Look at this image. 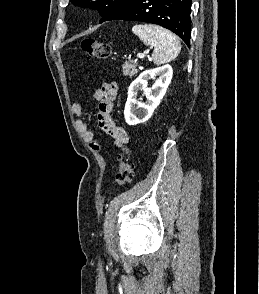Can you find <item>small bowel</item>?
Returning <instances> with one entry per match:
<instances>
[{"instance_id": "small-bowel-1", "label": "small bowel", "mask_w": 259, "mask_h": 294, "mask_svg": "<svg viewBox=\"0 0 259 294\" xmlns=\"http://www.w3.org/2000/svg\"><path fill=\"white\" fill-rule=\"evenodd\" d=\"M118 92L116 83H103L99 89L93 94V100L97 104V122L100 130L109 135L115 143L128 154L126 145L129 142V137L124 128L119 126L111 117ZM71 112L73 115H80L82 113V105L75 102L71 105ZM75 128L81 137L88 142L94 149H98L95 142V135L92 132L89 124L82 119L75 121Z\"/></svg>"}]
</instances>
